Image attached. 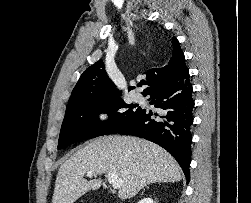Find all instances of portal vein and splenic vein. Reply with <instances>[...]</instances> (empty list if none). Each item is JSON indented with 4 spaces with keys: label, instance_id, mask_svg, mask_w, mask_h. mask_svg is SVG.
Wrapping results in <instances>:
<instances>
[{
    "label": "portal vein and splenic vein",
    "instance_id": "1",
    "mask_svg": "<svg viewBox=\"0 0 251 203\" xmlns=\"http://www.w3.org/2000/svg\"><path fill=\"white\" fill-rule=\"evenodd\" d=\"M94 172L90 171L87 172L86 175L88 177H92ZM108 181L112 185L114 189H118L122 186L123 180L118 177V175L114 172H109L108 173Z\"/></svg>",
    "mask_w": 251,
    "mask_h": 203
}]
</instances>
